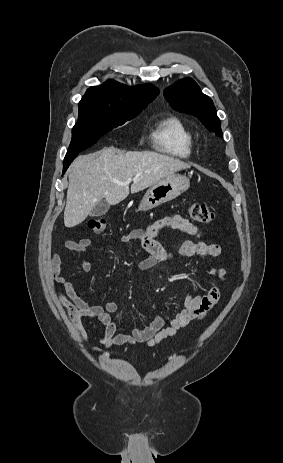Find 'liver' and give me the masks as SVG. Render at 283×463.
Segmentation results:
<instances>
[{
  "label": "liver",
  "instance_id": "6515ba94",
  "mask_svg": "<svg viewBox=\"0 0 283 463\" xmlns=\"http://www.w3.org/2000/svg\"><path fill=\"white\" fill-rule=\"evenodd\" d=\"M190 166L174 157L151 151L117 153L107 147L75 159L69 168V186L64 210L68 228L83 222L103 198L116 205L129 195L128 178H135L131 193H137Z\"/></svg>",
  "mask_w": 283,
  "mask_h": 463
}]
</instances>
